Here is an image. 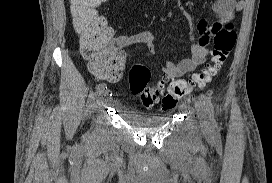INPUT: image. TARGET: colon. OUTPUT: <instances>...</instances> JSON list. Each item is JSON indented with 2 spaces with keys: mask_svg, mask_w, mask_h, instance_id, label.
<instances>
[{
  "mask_svg": "<svg viewBox=\"0 0 272 183\" xmlns=\"http://www.w3.org/2000/svg\"><path fill=\"white\" fill-rule=\"evenodd\" d=\"M104 1L70 0L81 54L89 61L91 69L98 74H105L110 67L119 62L118 56L108 46L110 34L105 19L99 13ZM209 31L217 33L213 39L212 56L203 69L194 73L191 79L151 85L148 68L143 65H133L128 76L131 93L147 107L161 101L163 108L169 110L175 107L178 99L193 89L205 87L219 73L236 41V33L231 23L220 25V30Z\"/></svg>",
  "mask_w": 272,
  "mask_h": 183,
  "instance_id": "obj_1",
  "label": "colon"
}]
</instances>
